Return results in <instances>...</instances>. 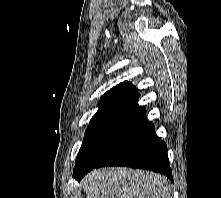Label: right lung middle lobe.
<instances>
[{
	"mask_svg": "<svg viewBox=\"0 0 221 198\" xmlns=\"http://www.w3.org/2000/svg\"><path fill=\"white\" fill-rule=\"evenodd\" d=\"M143 124L128 121H105L90 124L76 158L73 177L78 178L98 166L135 136Z\"/></svg>",
	"mask_w": 221,
	"mask_h": 198,
	"instance_id": "1",
	"label": "right lung middle lobe"
}]
</instances>
